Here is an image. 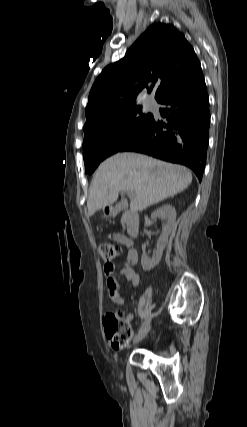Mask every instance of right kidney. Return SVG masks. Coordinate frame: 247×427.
I'll return each instance as SVG.
<instances>
[{"label":"right kidney","instance_id":"ca27d5eb","mask_svg":"<svg viewBox=\"0 0 247 427\" xmlns=\"http://www.w3.org/2000/svg\"><path fill=\"white\" fill-rule=\"evenodd\" d=\"M157 218H161L165 223L163 224L162 233L157 241V250L155 255L151 259L147 257L141 258V265L145 271H150L159 264L163 255V250L168 242V236L175 224L176 210L169 204L161 206L151 214L152 220H156Z\"/></svg>","mask_w":247,"mask_h":427}]
</instances>
